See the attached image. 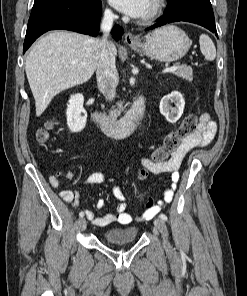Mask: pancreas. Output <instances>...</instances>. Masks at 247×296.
<instances>
[{
    "label": "pancreas",
    "instance_id": "pancreas-1",
    "mask_svg": "<svg viewBox=\"0 0 247 296\" xmlns=\"http://www.w3.org/2000/svg\"><path fill=\"white\" fill-rule=\"evenodd\" d=\"M177 77L185 79L187 81H192L193 79V70L192 67L188 65H179L178 69L173 72ZM123 109L122 103H118V107L115 110L110 111V116L116 118L120 115L121 110Z\"/></svg>",
    "mask_w": 247,
    "mask_h": 296
}]
</instances>
